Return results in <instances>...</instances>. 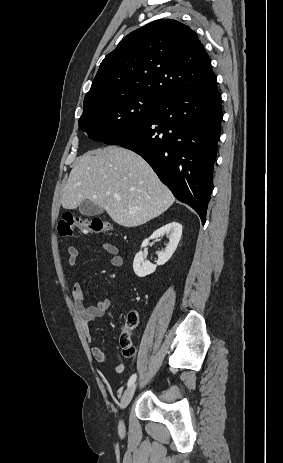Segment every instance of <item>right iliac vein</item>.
Returning <instances> with one entry per match:
<instances>
[{"label": "right iliac vein", "mask_w": 283, "mask_h": 463, "mask_svg": "<svg viewBox=\"0 0 283 463\" xmlns=\"http://www.w3.org/2000/svg\"><path fill=\"white\" fill-rule=\"evenodd\" d=\"M135 389H136V385L133 384L124 392L122 399H121V403H120L121 409H125L129 405V403L131 402L134 396ZM119 431L121 434H124L125 432V426L122 420H120L119 422Z\"/></svg>", "instance_id": "1"}]
</instances>
